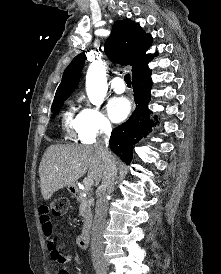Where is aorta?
I'll return each mask as SVG.
<instances>
[{"instance_id": "762f6f07", "label": "aorta", "mask_w": 221, "mask_h": 274, "mask_svg": "<svg viewBox=\"0 0 221 274\" xmlns=\"http://www.w3.org/2000/svg\"><path fill=\"white\" fill-rule=\"evenodd\" d=\"M107 79L106 69L103 65L92 63L86 75V92L90 102L100 105L106 95Z\"/></svg>"}]
</instances>
